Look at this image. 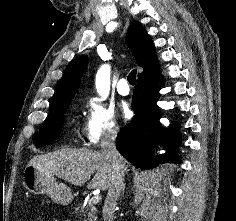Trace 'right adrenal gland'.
Listing matches in <instances>:
<instances>
[{
	"label": "right adrenal gland",
	"instance_id": "1",
	"mask_svg": "<svg viewBox=\"0 0 236 221\" xmlns=\"http://www.w3.org/2000/svg\"><path fill=\"white\" fill-rule=\"evenodd\" d=\"M124 191H125V184H123V187H122L123 194H124Z\"/></svg>",
	"mask_w": 236,
	"mask_h": 221
}]
</instances>
